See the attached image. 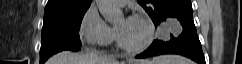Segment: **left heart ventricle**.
Wrapping results in <instances>:
<instances>
[{
  "label": "left heart ventricle",
  "mask_w": 242,
  "mask_h": 64,
  "mask_svg": "<svg viewBox=\"0 0 242 64\" xmlns=\"http://www.w3.org/2000/svg\"><path fill=\"white\" fill-rule=\"evenodd\" d=\"M116 28L118 29L123 41L129 46L141 45L147 38V26L138 20L120 19Z\"/></svg>",
  "instance_id": "1"
}]
</instances>
